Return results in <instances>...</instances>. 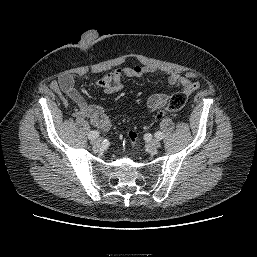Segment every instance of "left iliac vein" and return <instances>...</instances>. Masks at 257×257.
I'll return each instance as SVG.
<instances>
[{
    "label": "left iliac vein",
    "mask_w": 257,
    "mask_h": 257,
    "mask_svg": "<svg viewBox=\"0 0 257 257\" xmlns=\"http://www.w3.org/2000/svg\"><path fill=\"white\" fill-rule=\"evenodd\" d=\"M147 145L150 150L155 151L160 147V141L157 139H152L148 142Z\"/></svg>",
    "instance_id": "4c4485c4"
}]
</instances>
